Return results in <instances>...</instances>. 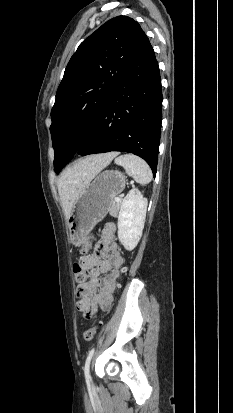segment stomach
<instances>
[{"mask_svg":"<svg viewBox=\"0 0 233 413\" xmlns=\"http://www.w3.org/2000/svg\"><path fill=\"white\" fill-rule=\"evenodd\" d=\"M125 182L124 174L108 170L83 188L67 220L73 244L81 245L87 234L106 216L114 198L124 190Z\"/></svg>","mask_w":233,"mask_h":413,"instance_id":"0dacf381","label":"stomach"}]
</instances>
